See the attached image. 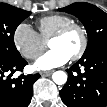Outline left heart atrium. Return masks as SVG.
Returning a JSON list of instances; mask_svg holds the SVG:
<instances>
[{
    "label": "left heart atrium",
    "mask_w": 107,
    "mask_h": 107,
    "mask_svg": "<svg viewBox=\"0 0 107 107\" xmlns=\"http://www.w3.org/2000/svg\"><path fill=\"white\" fill-rule=\"evenodd\" d=\"M70 56L60 49H51L37 59L34 68L37 70H50L66 64Z\"/></svg>",
    "instance_id": "left-heart-atrium-1"
}]
</instances>
